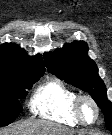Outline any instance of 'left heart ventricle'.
Masks as SVG:
<instances>
[{"mask_svg":"<svg viewBox=\"0 0 112 135\" xmlns=\"http://www.w3.org/2000/svg\"><path fill=\"white\" fill-rule=\"evenodd\" d=\"M82 114L84 119L88 122H92L95 119V110L89 102L83 103Z\"/></svg>","mask_w":112,"mask_h":135,"instance_id":"obj_1","label":"left heart ventricle"}]
</instances>
